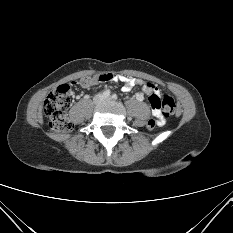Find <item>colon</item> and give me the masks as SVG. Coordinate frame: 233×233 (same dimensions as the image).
<instances>
[{
  "mask_svg": "<svg viewBox=\"0 0 233 233\" xmlns=\"http://www.w3.org/2000/svg\"><path fill=\"white\" fill-rule=\"evenodd\" d=\"M103 75V74H102ZM96 76H86L79 80H83L84 88H89L97 83ZM72 101V92L68 84H62L52 90L44 101V112L49 118V126L56 132L66 133L74 128L73 122L66 116L65 112L69 108ZM149 103L153 107L161 110L165 116L173 115L176 112V101L170 94L162 96H152ZM157 126L156 119L152 118L148 121L147 127L153 129Z\"/></svg>",
  "mask_w": 233,
  "mask_h": 233,
  "instance_id": "colon-1",
  "label": "colon"
}]
</instances>
